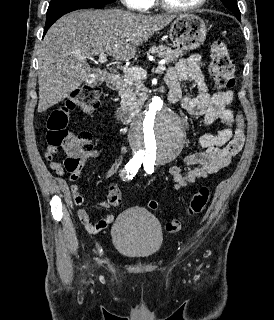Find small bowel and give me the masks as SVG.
<instances>
[{
    "instance_id": "obj_1",
    "label": "small bowel",
    "mask_w": 274,
    "mask_h": 320,
    "mask_svg": "<svg viewBox=\"0 0 274 320\" xmlns=\"http://www.w3.org/2000/svg\"><path fill=\"white\" fill-rule=\"evenodd\" d=\"M165 80L170 92L179 93L183 108L188 113L202 118V126H210L217 120L224 125L216 133H207L198 137V144L203 149L202 151L189 153L184 157L183 165H172L168 168V174L173 182V190L177 191L227 167L243 148L245 134L241 115L228 108L233 100L232 91L226 90L216 94H211L208 91L200 69L199 55L193 54L180 60L168 70ZM186 80L195 85L197 90L195 96H182L180 83ZM47 151L42 158L43 163H50V168L55 171L58 177H62L64 167L60 162L55 161V153L58 152V147L48 146ZM100 153L99 149L90 147L84 152V158H96ZM125 153L126 148L123 147L121 155L106 170L104 174L106 179L114 177L120 171L124 163ZM79 176L80 170L76 173L75 179L77 180ZM70 192L75 205L83 206L85 204L79 185L72 184ZM99 206L108 208L109 204L102 201ZM77 216L85 227L87 224L93 223L91 215L84 208L77 211ZM113 220L114 216L112 214H106L97 225L100 229H103Z\"/></svg>"
}]
</instances>
